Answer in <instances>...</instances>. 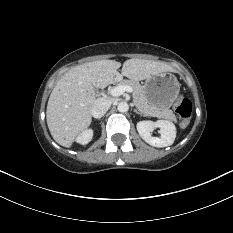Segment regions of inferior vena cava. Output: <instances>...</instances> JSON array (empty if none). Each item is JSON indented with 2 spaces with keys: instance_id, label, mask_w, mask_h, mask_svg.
I'll list each match as a JSON object with an SVG mask.
<instances>
[{
  "instance_id": "inferior-vena-cava-1",
  "label": "inferior vena cava",
  "mask_w": 233,
  "mask_h": 233,
  "mask_svg": "<svg viewBox=\"0 0 233 233\" xmlns=\"http://www.w3.org/2000/svg\"><path fill=\"white\" fill-rule=\"evenodd\" d=\"M110 106H111V102L109 100L105 98L96 99L92 109L93 117L97 119L103 117L110 108Z\"/></svg>"
}]
</instances>
